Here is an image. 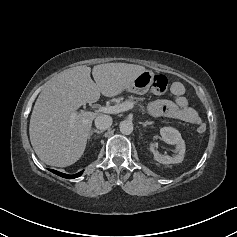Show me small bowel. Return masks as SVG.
I'll list each match as a JSON object with an SVG mask.
<instances>
[{
  "mask_svg": "<svg viewBox=\"0 0 237 237\" xmlns=\"http://www.w3.org/2000/svg\"><path fill=\"white\" fill-rule=\"evenodd\" d=\"M170 90L175 96V101H153L148 105L149 111L158 116H170L191 125H199L201 121L200 116L197 111L189 105L184 95V86L180 82H174Z\"/></svg>",
  "mask_w": 237,
  "mask_h": 237,
  "instance_id": "1",
  "label": "small bowel"
}]
</instances>
